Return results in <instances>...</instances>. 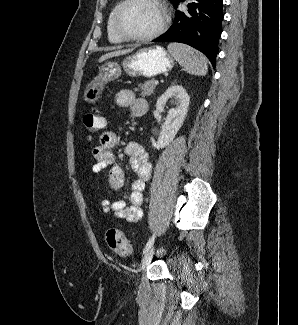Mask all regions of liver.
Wrapping results in <instances>:
<instances>
[{"label": "liver", "instance_id": "liver-1", "mask_svg": "<svg viewBox=\"0 0 298 325\" xmlns=\"http://www.w3.org/2000/svg\"><path fill=\"white\" fill-rule=\"evenodd\" d=\"M133 48H119V50H112V52H105L102 56H99L98 62H103L106 58H113V56H121V54H128Z\"/></svg>", "mask_w": 298, "mask_h": 325}]
</instances>
